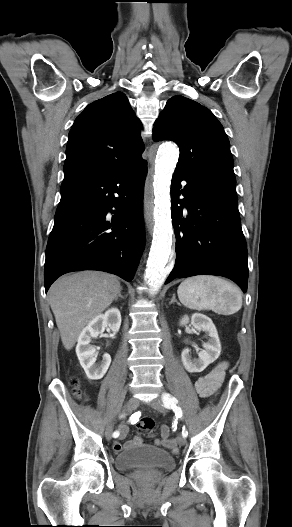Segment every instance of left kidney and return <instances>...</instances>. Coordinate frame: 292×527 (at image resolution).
Here are the masks:
<instances>
[{"mask_svg": "<svg viewBox=\"0 0 292 527\" xmlns=\"http://www.w3.org/2000/svg\"><path fill=\"white\" fill-rule=\"evenodd\" d=\"M191 323L196 330H203L208 333L209 340L203 344L202 350L198 359H192L190 350L184 349L181 353L182 363L185 369L190 373L202 372L209 364L213 363L220 355L221 343L218 337V332L212 320L206 315L195 313L191 316H184L180 320V326H185Z\"/></svg>", "mask_w": 292, "mask_h": 527, "instance_id": "1", "label": "left kidney"}]
</instances>
